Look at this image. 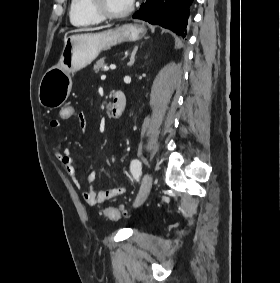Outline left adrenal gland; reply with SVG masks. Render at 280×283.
<instances>
[{
  "label": "left adrenal gland",
  "instance_id": "obj_1",
  "mask_svg": "<svg viewBox=\"0 0 280 283\" xmlns=\"http://www.w3.org/2000/svg\"><path fill=\"white\" fill-rule=\"evenodd\" d=\"M137 50H138V46H136L132 53H131V56H130V61H129V66H132L135 62V56H136V53H137Z\"/></svg>",
  "mask_w": 280,
  "mask_h": 283
}]
</instances>
